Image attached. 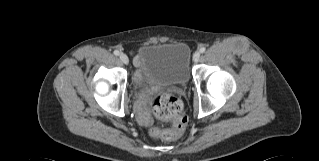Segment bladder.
<instances>
[{
	"label": "bladder",
	"instance_id": "31cf9c89",
	"mask_svg": "<svg viewBox=\"0 0 319 161\" xmlns=\"http://www.w3.org/2000/svg\"><path fill=\"white\" fill-rule=\"evenodd\" d=\"M145 83L186 85L191 76V51L185 43H146L135 57Z\"/></svg>",
	"mask_w": 319,
	"mask_h": 161
}]
</instances>
